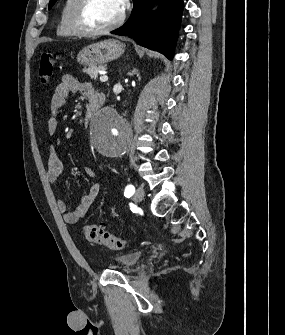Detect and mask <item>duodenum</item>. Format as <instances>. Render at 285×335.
I'll return each mask as SVG.
<instances>
[{"instance_id":"duodenum-1","label":"duodenum","mask_w":285,"mask_h":335,"mask_svg":"<svg viewBox=\"0 0 285 335\" xmlns=\"http://www.w3.org/2000/svg\"><path fill=\"white\" fill-rule=\"evenodd\" d=\"M103 104V99L93 100L89 103L85 116H84V123L88 125L93 117L96 115L97 111Z\"/></svg>"}]
</instances>
